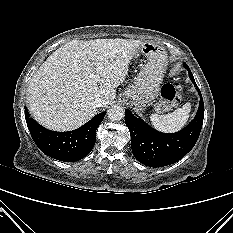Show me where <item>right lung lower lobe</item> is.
<instances>
[{
    "mask_svg": "<svg viewBox=\"0 0 233 233\" xmlns=\"http://www.w3.org/2000/svg\"><path fill=\"white\" fill-rule=\"evenodd\" d=\"M106 114L102 112L80 128L68 132H55L38 124L25 107V119L38 148L51 158L74 162L86 157L94 147L96 130Z\"/></svg>",
    "mask_w": 233,
    "mask_h": 233,
    "instance_id": "1",
    "label": "right lung lower lobe"
}]
</instances>
